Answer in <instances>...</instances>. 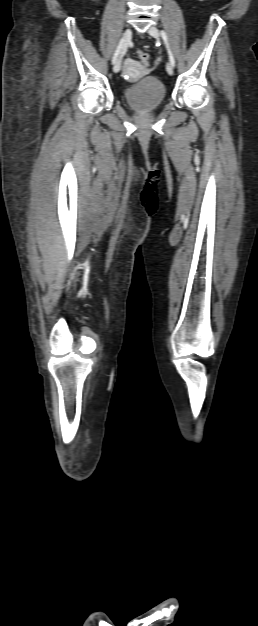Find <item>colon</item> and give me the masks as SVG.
Masks as SVG:
<instances>
[{
	"mask_svg": "<svg viewBox=\"0 0 258 626\" xmlns=\"http://www.w3.org/2000/svg\"><path fill=\"white\" fill-rule=\"evenodd\" d=\"M137 56H138L139 60H140L142 63H145V64H146V63L148 62V60H149V56H148V54H147L146 52L142 51V50H139V51L137 52Z\"/></svg>",
	"mask_w": 258,
	"mask_h": 626,
	"instance_id": "1",
	"label": "colon"
}]
</instances>
